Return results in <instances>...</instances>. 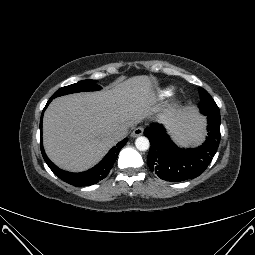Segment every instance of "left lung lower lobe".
Wrapping results in <instances>:
<instances>
[{
  "label": "left lung lower lobe",
  "mask_w": 255,
  "mask_h": 255,
  "mask_svg": "<svg viewBox=\"0 0 255 255\" xmlns=\"http://www.w3.org/2000/svg\"><path fill=\"white\" fill-rule=\"evenodd\" d=\"M205 115L208 137L198 148L177 147L158 123H152L144 130L151 143L147 163L159 178L170 182L184 181L199 176L208 167L220 142V113Z\"/></svg>",
  "instance_id": "1"
}]
</instances>
